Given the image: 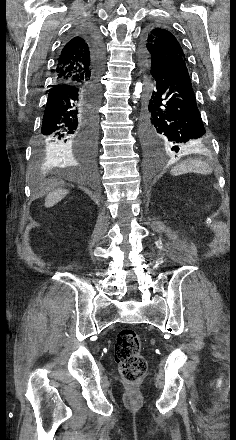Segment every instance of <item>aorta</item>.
Masks as SVG:
<instances>
[{"mask_svg": "<svg viewBox=\"0 0 236 440\" xmlns=\"http://www.w3.org/2000/svg\"><path fill=\"white\" fill-rule=\"evenodd\" d=\"M142 87H143V84L141 82H137L135 84V88H134V92H133L134 103H136L137 102L136 100L140 98V95L142 93Z\"/></svg>", "mask_w": 236, "mask_h": 440, "instance_id": "762f6f07", "label": "aorta"}]
</instances>
